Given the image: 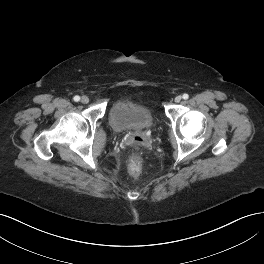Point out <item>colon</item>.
<instances>
[{
	"mask_svg": "<svg viewBox=\"0 0 264 264\" xmlns=\"http://www.w3.org/2000/svg\"><path fill=\"white\" fill-rule=\"evenodd\" d=\"M129 172L133 176H138L141 172V162L139 159H133L129 165Z\"/></svg>",
	"mask_w": 264,
	"mask_h": 264,
	"instance_id": "colon-1",
	"label": "colon"
}]
</instances>
